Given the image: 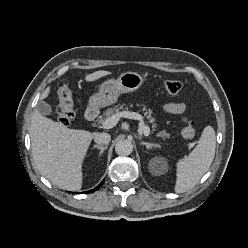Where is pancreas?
<instances>
[{
	"instance_id": "pancreas-1",
	"label": "pancreas",
	"mask_w": 248,
	"mask_h": 248,
	"mask_svg": "<svg viewBox=\"0 0 248 248\" xmlns=\"http://www.w3.org/2000/svg\"><path fill=\"white\" fill-rule=\"evenodd\" d=\"M124 107V104L122 105H116L114 108H109L106 110V112H104L103 116L108 119L110 118L112 115H114L115 113H117L120 109H123ZM143 112H144V116L149 120L150 123H152V128L153 130L156 128V124L154 123L155 122V119L152 118V110L151 109H146V108H143ZM100 123H103L104 120H103V117H100V120H99ZM158 137H162L163 139L164 138H168L170 135L168 133H166L165 131H160L158 134H157Z\"/></svg>"
}]
</instances>
